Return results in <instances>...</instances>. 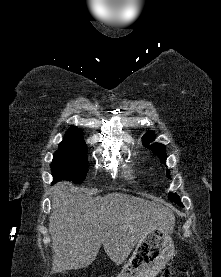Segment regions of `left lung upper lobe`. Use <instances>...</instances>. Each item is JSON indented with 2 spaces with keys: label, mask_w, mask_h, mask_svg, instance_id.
<instances>
[{
  "label": "left lung upper lobe",
  "mask_w": 221,
  "mask_h": 277,
  "mask_svg": "<svg viewBox=\"0 0 221 277\" xmlns=\"http://www.w3.org/2000/svg\"><path fill=\"white\" fill-rule=\"evenodd\" d=\"M143 144L149 148L151 151H153L161 160V162L165 163L166 161V152H165V147L162 144H153L149 145L150 142L154 141V133L153 131H148L143 137ZM167 176H169V170L166 171ZM169 200L179 204L182 206V203L180 201L179 196L176 193H170L168 196Z\"/></svg>",
  "instance_id": "1"
}]
</instances>
